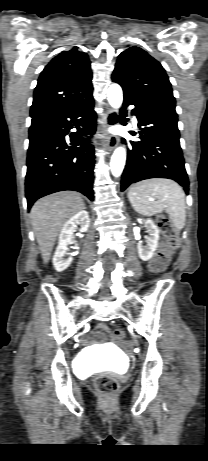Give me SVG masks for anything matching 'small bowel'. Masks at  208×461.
<instances>
[{
	"mask_svg": "<svg viewBox=\"0 0 208 461\" xmlns=\"http://www.w3.org/2000/svg\"><path fill=\"white\" fill-rule=\"evenodd\" d=\"M151 269L154 270L151 266ZM156 271V270H154ZM107 332H108V328L106 325L104 324H101L98 326L97 328V332L94 334V338L95 339H99V340H104L105 337L107 336Z\"/></svg>",
	"mask_w": 208,
	"mask_h": 461,
	"instance_id": "small-bowel-1",
	"label": "small bowel"
}]
</instances>
